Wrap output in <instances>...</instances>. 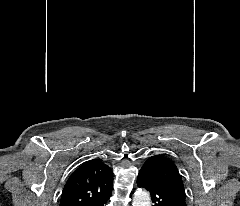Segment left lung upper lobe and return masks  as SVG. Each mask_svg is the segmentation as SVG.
Here are the masks:
<instances>
[{
  "label": "left lung upper lobe",
  "instance_id": "1",
  "mask_svg": "<svg viewBox=\"0 0 240 206\" xmlns=\"http://www.w3.org/2000/svg\"><path fill=\"white\" fill-rule=\"evenodd\" d=\"M144 165L150 167L158 181L181 206H186V194L181 175L169 158L155 155L147 159Z\"/></svg>",
  "mask_w": 240,
  "mask_h": 206
}]
</instances>
